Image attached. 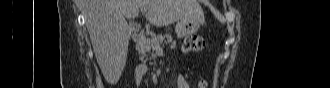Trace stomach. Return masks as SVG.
<instances>
[{
	"instance_id": "stomach-1",
	"label": "stomach",
	"mask_w": 330,
	"mask_h": 88,
	"mask_svg": "<svg viewBox=\"0 0 330 88\" xmlns=\"http://www.w3.org/2000/svg\"><path fill=\"white\" fill-rule=\"evenodd\" d=\"M204 19L201 18H183L176 27L175 31L178 37H186L197 32Z\"/></svg>"
}]
</instances>
